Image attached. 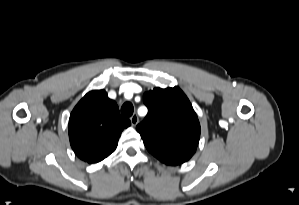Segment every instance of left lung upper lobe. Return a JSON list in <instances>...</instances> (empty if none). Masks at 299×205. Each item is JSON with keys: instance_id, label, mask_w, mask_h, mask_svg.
<instances>
[{"instance_id": "1", "label": "left lung upper lobe", "mask_w": 299, "mask_h": 205, "mask_svg": "<svg viewBox=\"0 0 299 205\" xmlns=\"http://www.w3.org/2000/svg\"><path fill=\"white\" fill-rule=\"evenodd\" d=\"M143 101L148 114L136 129L147 149L170 146L197 148L200 123L179 87L154 88L144 93Z\"/></svg>"}]
</instances>
